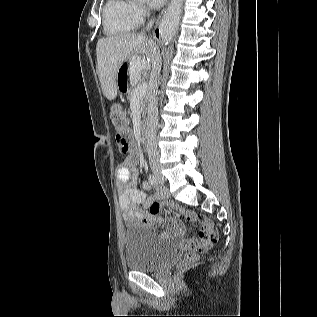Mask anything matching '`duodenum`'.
I'll return each mask as SVG.
<instances>
[{
  "instance_id": "1",
  "label": "duodenum",
  "mask_w": 317,
  "mask_h": 317,
  "mask_svg": "<svg viewBox=\"0 0 317 317\" xmlns=\"http://www.w3.org/2000/svg\"><path fill=\"white\" fill-rule=\"evenodd\" d=\"M147 137V127L146 125H141L140 132H139V138L140 140H145Z\"/></svg>"
}]
</instances>
